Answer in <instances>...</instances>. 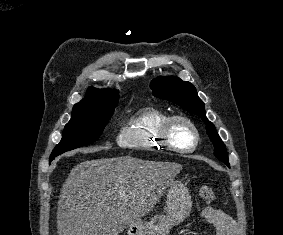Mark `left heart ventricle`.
Listing matches in <instances>:
<instances>
[{
    "label": "left heart ventricle",
    "instance_id": "1",
    "mask_svg": "<svg viewBox=\"0 0 283 235\" xmlns=\"http://www.w3.org/2000/svg\"><path fill=\"white\" fill-rule=\"evenodd\" d=\"M171 138L173 143L179 147H190L194 142L190 128L181 122H177L172 126Z\"/></svg>",
    "mask_w": 283,
    "mask_h": 235
}]
</instances>
